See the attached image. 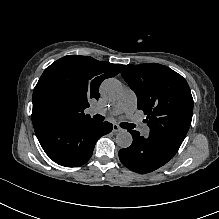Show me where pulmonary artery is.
Returning <instances> with one entry per match:
<instances>
[{"label": "pulmonary artery", "instance_id": "1", "mask_svg": "<svg viewBox=\"0 0 219 219\" xmlns=\"http://www.w3.org/2000/svg\"><path fill=\"white\" fill-rule=\"evenodd\" d=\"M136 105H137V97L135 92L130 88H126L124 90L123 95L121 96V98L118 100V102L116 103V105L113 107L111 111L102 112L98 108H91L90 111L92 113H99L107 117L116 116L122 113H126L129 116H132L136 108Z\"/></svg>", "mask_w": 219, "mask_h": 219}]
</instances>
